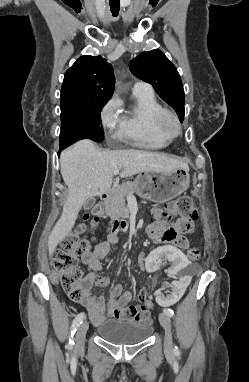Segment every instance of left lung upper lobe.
Segmentation results:
<instances>
[{"label": "left lung upper lobe", "mask_w": 249, "mask_h": 382, "mask_svg": "<svg viewBox=\"0 0 249 382\" xmlns=\"http://www.w3.org/2000/svg\"><path fill=\"white\" fill-rule=\"evenodd\" d=\"M137 78L150 83L157 94L184 119V90L175 66L160 50L143 52L129 63Z\"/></svg>", "instance_id": "obj_1"}]
</instances>
